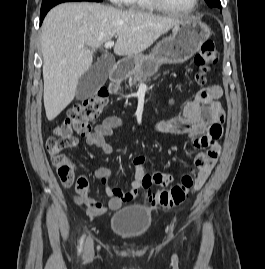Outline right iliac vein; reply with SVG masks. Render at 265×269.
<instances>
[{
  "mask_svg": "<svg viewBox=\"0 0 265 269\" xmlns=\"http://www.w3.org/2000/svg\"><path fill=\"white\" fill-rule=\"evenodd\" d=\"M93 254H94L93 240L91 238H88L85 243L83 258L85 260H88L92 258Z\"/></svg>",
  "mask_w": 265,
  "mask_h": 269,
  "instance_id": "1",
  "label": "right iliac vein"
}]
</instances>
